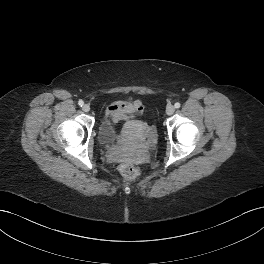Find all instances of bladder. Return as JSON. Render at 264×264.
<instances>
[{
    "label": "bladder",
    "instance_id": "bladder-1",
    "mask_svg": "<svg viewBox=\"0 0 264 264\" xmlns=\"http://www.w3.org/2000/svg\"><path fill=\"white\" fill-rule=\"evenodd\" d=\"M142 128L147 130V126L143 123ZM98 139L103 145H111L119 139L117 125L109 118L101 120L98 127Z\"/></svg>",
    "mask_w": 264,
    "mask_h": 264
}]
</instances>
